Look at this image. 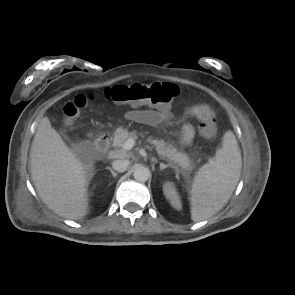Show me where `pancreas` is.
<instances>
[{
  "mask_svg": "<svg viewBox=\"0 0 295 295\" xmlns=\"http://www.w3.org/2000/svg\"><path fill=\"white\" fill-rule=\"evenodd\" d=\"M128 138L136 139V131L129 132L127 129L122 127L117 128L113 134V146L122 147ZM147 142L156 148V151L160 155L161 159L170 162L174 167L181 166L183 174H188L192 170L193 165L186 153L179 151L173 145L165 142L164 140L148 137Z\"/></svg>",
  "mask_w": 295,
  "mask_h": 295,
  "instance_id": "cf45deb5",
  "label": "pancreas"
}]
</instances>
